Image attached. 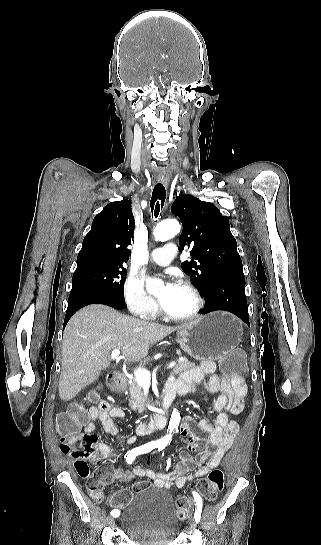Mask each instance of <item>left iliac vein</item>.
Masks as SVG:
<instances>
[{"instance_id": "1", "label": "left iliac vein", "mask_w": 321, "mask_h": 545, "mask_svg": "<svg viewBox=\"0 0 321 545\" xmlns=\"http://www.w3.org/2000/svg\"><path fill=\"white\" fill-rule=\"evenodd\" d=\"M189 527H190V530L191 531H194L195 527H196V523H195V518L194 517H191L189 519Z\"/></svg>"}]
</instances>
